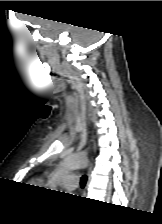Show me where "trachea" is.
Masks as SVG:
<instances>
[{
	"instance_id": "obj_1",
	"label": "trachea",
	"mask_w": 162,
	"mask_h": 224,
	"mask_svg": "<svg viewBox=\"0 0 162 224\" xmlns=\"http://www.w3.org/2000/svg\"><path fill=\"white\" fill-rule=\"evenodd\" d=\"M86 182H87V176H82L81 177V181H80V185L82 188H84V186L86 185Z\"/></svg>"
}]
</instances>
